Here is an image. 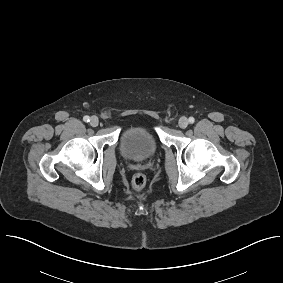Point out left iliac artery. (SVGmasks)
<instances>
[{
    "mask_svg": "<svg viewBox=\"0 0 283 283\" xmlns=\"http://www.w3.org/2000/svg\"><path fill=\"white\" fill-rule=\"evenodd\" d=\"M188 122H189L190 124H193V123L195 122V119H194L193 117H190V118L188 119Z\"/></svg>",
    "mask_w": 283,
    "mask_h": 283,
    "instance_id": "44dca946",
    "label": "left iliac artery"
}]
</instances>
